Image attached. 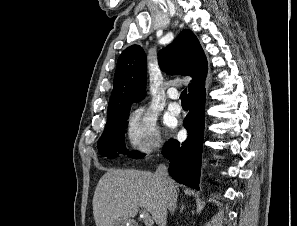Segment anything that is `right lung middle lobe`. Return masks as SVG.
Wrapping results in <instances>:
<instances>
[{"instance_id":"obj_1","label":"right lung middle lobe","mask_w":297,"mask_h":226,"mask_svg":"<svg viewBox=\"0 0 297 226\" xmlns=\"http://www.w3.org/2000/svg\"><path fill=\"white\" fill-rule=\"evenodd\" d=\"M130 107L113 108L107 111V123L98 141V150L102 156L115 158L118 154H128L132 158L144 155L134 151L129 153L124 144V132L127 128V117Z\"/></svg>"}]
</instances>
